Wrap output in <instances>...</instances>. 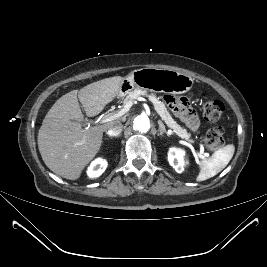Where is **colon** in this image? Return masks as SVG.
I'll return each mask as SVG.
<instances>
[{"label": "colon", "mask_w": 267, "mask_h": 267, "mask_svg": "<svg viewBox=\"0 0 267 267\" xmlns=\"http://www.w3.org/2000/svg\"><path fill=\"white\" fill-rule=\"evenodd\" d=\"M205 99L202 105V113L204 118L209 122L218 121L223 113L224 106L222 102L214 99ZM224 143L223 132L221 128H213L209 130L205 136V144L210 150L219 149Z\"/></svg>", "instance_id": "1"}]
</instances>
